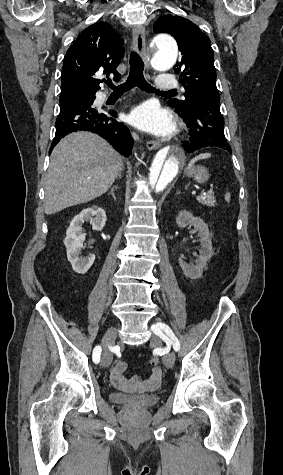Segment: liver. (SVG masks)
<instances>
[{"mask_svg":"<svg viewBox=\"0 0 283 475\" xmlns=\"http://www.w3.org/2000/svg\"><path fill=\"white\" fill-rule=\"evenodd\" d=\"M122 156L92 132H75L54 148L45 182V214L86 204L111 188Z\"/></svg>","mask_w":283,"mask_h":475,"instance_id":"6515ba94","label":"liver"}]
</instances>
